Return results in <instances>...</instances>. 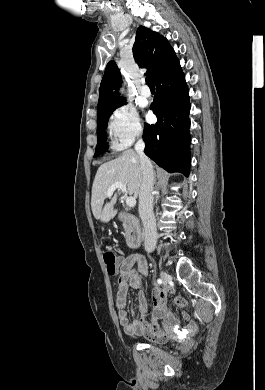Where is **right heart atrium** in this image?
<instances>
[{"label": "right heart atrium", "mask_w": 265, "mask_h": 390, "mask_svg": "<svg viewBox=\"0 0 265 390\" xmlns=\"http://www.w3.org/2000/svg\"><path fill=\"white\" fill-rule=\"evenodd\" d=\"M108 128L117 149L127 148L143 132L138 112L128 105H121L111 113Z\"/></svg>", "instance_id": "right-heart-atrium-1"}]
</instances>
